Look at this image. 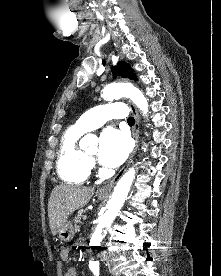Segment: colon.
Instances as JSON below:
<instances>
[{
	"mask_svg": "<svg viewBox=\"0 0 221 276\" xmlns=\"http://www.w3.org/2000/svg\"><path fill=\"white\" fill-rule=\"evenodd\" d=\"M54 248L56 249V251H60L61 253H63L65 251V249L67 248L66 244H55Z\"/></svg>",
	"mask_w": 221,
	"mask_h": 276,
	"instance_id": "5ec220e1",
	"label": "colon"
}]
</instances>
